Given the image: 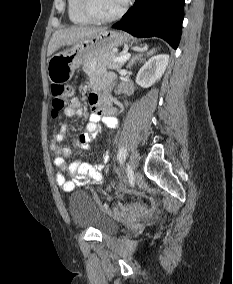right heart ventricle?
Segmentation results:
<instances>
[{
    "mask_svg": "<svg viewBox=\"0 0 233 284\" xmlns=\"http://www.w3.org/2000/svg\"><path fill=\"white\" fill-rule=\"evenodd\" d=\"M67 13L73 24L88 25L92 22L82 11L81 0H67Z\"/></svg>",
    "mask_w": 233,
    "mask_h": 284,
    "instance_id": "right-heart-ventricle-1",
    "label": "right heart ventricle"
}]
</instances>
